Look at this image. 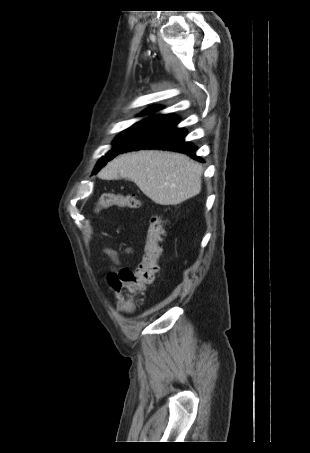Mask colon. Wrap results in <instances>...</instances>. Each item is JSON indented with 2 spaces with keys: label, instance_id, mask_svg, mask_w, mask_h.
I'll return each mask as SVG.
<instances>
[{
  "label": "colon",
  "instance_id": "colon-1",
  "mask_svg": "<svg viewBox=\"0 0 310 453\" xmlns=\"http://www.w3.org/2000/svg\"><path fill=\"white\" fill-rule=\"evenodd\" d=\"M111 207L135 209L140 207V200L133 195L105 193L96 204L97 211ZM163 227L162 218L153 216L147 230L141 263L135 269L122 268L117 274L108 276V283L116 294L117 306L123 312L134 310L137 293L154 281L162 253Z\"/></svg>",
  "mask_w": 310,
  "mask_h": 453
}]
</instances>
